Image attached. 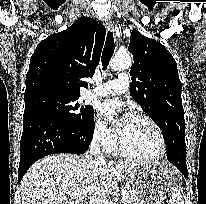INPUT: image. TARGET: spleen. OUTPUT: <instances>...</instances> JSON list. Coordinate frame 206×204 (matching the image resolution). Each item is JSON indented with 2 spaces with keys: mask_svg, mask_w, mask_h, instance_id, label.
I'll return each instance as SVG.
<instances>
[{
  "mask_svg": "<svg viewBox=\"0 0 206 204\" xmlns=\"http://www.w3.org/2000/svg\"><path fill=\"white\" fill-rule=\"evenodd\" d=\"M169 204H184L182 190L178 189L170 195Z\"/></svg>",
  "mask_w": 206,
  "mask_h": 204,
  "instance_id": "1",
  "label": "spleen"
}]
</instances>
